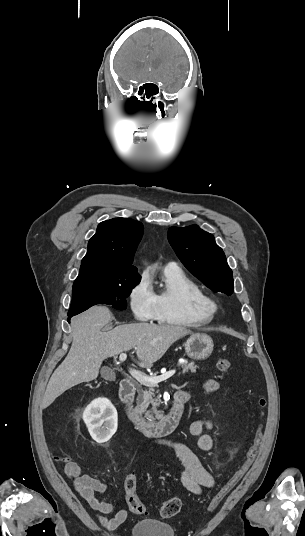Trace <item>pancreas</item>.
Here are the masks:
<instances>
[{
    "mask_svg": "<svg viewBox=\"0 0 305 536\" xmlns=\"http://www.w3.org/2000/svg\"><path fill=\"white\" fill-rule=\"evenodd\" d=\"M177 366H181L182 374H186L189 370L194 374L197 370L194 362L188 364L187 360H185L184 364H177ZM142 386L143 384H137L138 398L136 410H139L140 414H145L144 418L151 420V424H154L158 416H163V412H158L157 410L160 406L159 390H155L154 384H148L146 388H142ZM149 406H152L151 410H147Z\"/></svg>",
    "mask_w": 305,
    "mask_h": 536,
    "instance_id": "cf45deb5",
    "label": "pancreas"
}]
</instances>
